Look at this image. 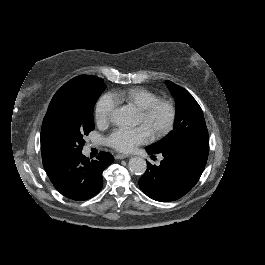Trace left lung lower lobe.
Returning <instances> with one entry per match:
<instances>
[{"mask_svg": "<svg viewBox=\"0 0 265 265\" xmlns=\"http://www.w3.org/2000/svg\"><path fill=\"white\" fill-rule=\"evenodd\" d=\"M208 152L209 145L199 144H188L161 152L164 159L159 166L147 163V171L139 179L141 190L156 201L167 202L181 198L199 180Z\"/></svg>", "mask_w": 265, "mask_h": 265, "instance_id": "0a47b994", "label": "left lung lower lobe"}]
</instances>
